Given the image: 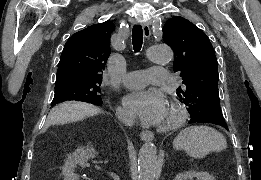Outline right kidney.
<instances>
[{
	"label": "right kidney",
	"instance_id": "1",
	"mask_svg": "<svg viewBox=\"0 0 261 180\" xmlns=\"http://www.w3.org/2000/svg\"><path fill=\"white\" fill-rule=\"evenodd\" d=\"M97 152L94 148H78L74 154L68 156L63 168L62 174L65 176V180H76V174H73L74 168H77V164L81 168H85L88 158H95Z\"/></svg>",
	"mask_w": 261,
	"mask_h": 180
}]
</instances>
